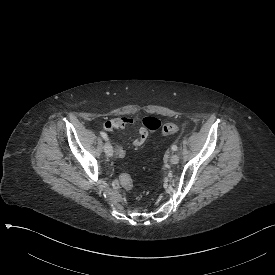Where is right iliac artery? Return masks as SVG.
Instances as JSON below:
<instances>
[{
  "mask_svg": "<svg viewBox=\"0 0 275 275\" xmlns=\"http://www.w3.org/2000/svg\"><path fill=\"white\" fill-rule=\"evenodd\" d=\"M100 135H101V137H102L103 139L108 140V136H107V134H106L105 132L101 131V132H100Z\"/></svg>",
  "mask_w": 275,
  "mask_h": 275,
  "instance_id": "82829eb1",
  "label": "right iliac artery"
}]
</instances>
